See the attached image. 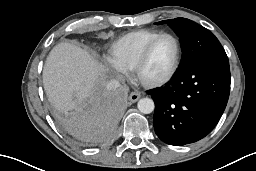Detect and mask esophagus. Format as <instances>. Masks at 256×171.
Instances as JSON below:
<instances>
[{"mask_svg": "<svg viewBox=\"0 0 256 171\" xmlns=\"http://www.w3.org/2000/svg\"><path fill=\"white\" fill-rule=\"evenodd\" d=\"M140 97H141V94L140 93H138V92H134V93H131L130 95H129V101L131 102V103H135V102H137L139 99H140Z\"/></svg>", "mask_w": 256, "mask_h": 171, "instance_id": "obj_1", "label": "esophagus"}]
</instances>
